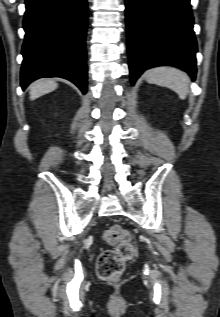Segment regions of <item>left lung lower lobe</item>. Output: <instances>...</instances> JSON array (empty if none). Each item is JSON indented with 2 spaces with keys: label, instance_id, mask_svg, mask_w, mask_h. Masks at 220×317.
Segmentation results:
<instances>
[{
  "label": "left lung lower lobe",
  "instance_id": "obj_1",
  "mask_svg": "<svg viewBox=\"0 0 220 317\" xmlns=\"http://www.w3.org/2000/svg\"><path fill=\"white\" fill-rule=\"evenodd\" d=\"M131 83L151 67L173 65L196 76L190 0H125Z\"/></svg>",
  "mask_w": 220,
  "mask_h": 317
}]
</instances>
